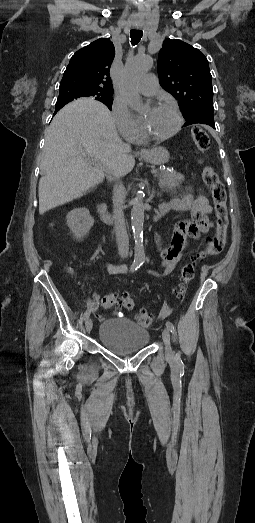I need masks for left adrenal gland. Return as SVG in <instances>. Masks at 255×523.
<instances>
[{
  "label": "left adrenal gland",
  "instance_id": "obj_1",
  "mask_svg": "<svg viewBox=\"0 0 255 523\" xmlns=\"http://www.w3.org/2000/svg\"><path fill=\"white\" fill-rule=\"evenodd\" d=\"M154 196H155V192H154V190H153V188H152V192H151V194H150V198H154ZM157 196H160V194H157Z\"/></svg>",
  "mask_w": 255,
  "mask_h": 523
}]
</instances>
